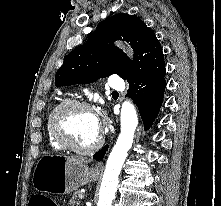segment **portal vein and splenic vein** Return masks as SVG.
I'll return each instance as SVG.
<instances>
[{
  "label": "portal vein and splenic vein",
  "mask_w": 221,
  "mask_h": 206,
  "mask_svg": "<svg viewBox=\"0 0 221 206\" xmlns=\"http://www.w3.org/2000/svg\"><path fill=\"white\" fill-rule=\"evenodd\" d=\"M83 197H84V196H83L82 194L79 196L80 199H83Z\"/></svg>",
  "instance_id": "1"
}]
</instances>
